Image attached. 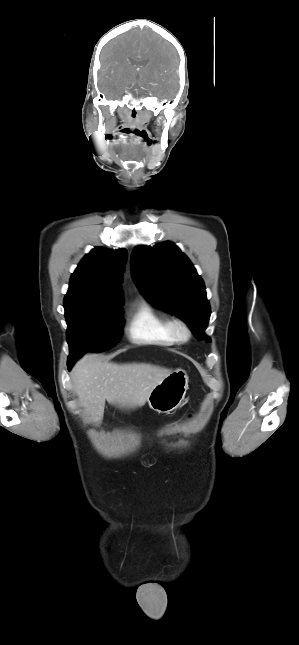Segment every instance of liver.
<instances>
[{
	"instance_id": "liver-1",
	"label": "liver",
	"mask_w": 299,
	"mask_h": 645,
	"mask_svg": "<svg viewBox=\"0 0 299 645\" xmlns=\"http://www.w3.org/2000/svg\"><path fill=\"white\" fill-rule=\"evenodd\" d=\"M171 372L145 363L106 362L88 353L74 365L71 378L84 413L99 425L106 401L120 408L142 407L152 389Z\"/></svg>"
}]
</instances>
